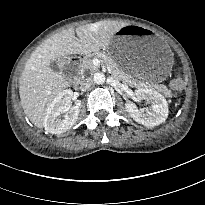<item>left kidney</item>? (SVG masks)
<instances>
[{
    "mask_svg": "<svg viewBox=\"0 0 205 205\" xmlns=\"http://www.w3.org/2000/svg\"><path fill=\"white\" fill-rule=\"evenodd\" d=\"M135 98L138 101L145 100L151 104L150 108L141 111L131 102L125 104L130 116L139 124L146 127H154L163 123L168 117V104L163 95L149 88L135 90Z\"/></svg>",
    "mask_w": 205,
    "mask_h": 205,
    "instance_id": "obj_1",
    "label": "left kidney"
}]
</instances>
